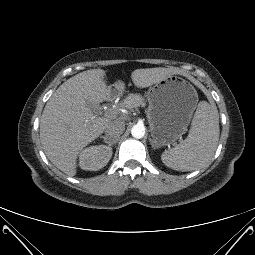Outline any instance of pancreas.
<instances>
[{"instance_id": "obj_1", "label": "pancreas", "mask_w": 255, "mask_h": 255, "mask_svg": "<svg viewBox=\"0 0 255 255\" xmlns=\"http://www.w3.org/2000/svg\"><path fill=\"white\" fill-rule=\"evenodd\" d=\"M145 101L144 98L140 94H129L124 101L121 103L122 107L131 108V107H138L144 106Z\"/></svg>"}]
</instances>
